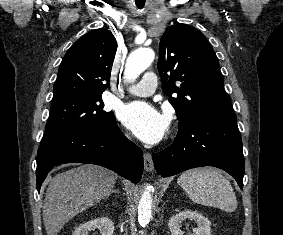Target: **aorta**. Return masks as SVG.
I'll return each mask as SVG.
<instances>
[{"mask_svg": "<svg viewBox=\"0 0 283 235\" xmlns=\"http://www.w3.org/2000/svg\"><path fill=\"white\" fill-rule=\"evenodd\" d=\"M155 53L150 48H142L132 52L126 61L124 76L129 82L135 79L145 71L153 62ZM153 187L147 185L143 191L138 204V221L142 227H145L152 217V194Z\"/></svg>", "mask_w": 283, "mask_h": 235, "instance_id": "obj_1", "label": "aorta"}]
</instances>
